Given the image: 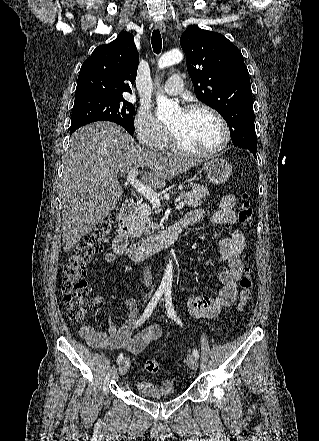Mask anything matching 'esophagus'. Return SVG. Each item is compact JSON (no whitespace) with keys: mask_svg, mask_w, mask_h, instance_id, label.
<instances>
[{"mask_svg":"<svg viewBox=\"0 0 319 441\" xmlns=\"http://www.w3.org/2000/svg\"><path fill=\"white\" fill-rule=\"evenodd\" d=\"M155 27H156L157 29H159L160 32L163 33V34H164L165 31H166L165 24H164L162 21H160V22H156V23H155Z\"/></svg>","mask_w":319,"mask_h":441,"instance_id":"34e87169","label":"esophagus"}]
</instances>
